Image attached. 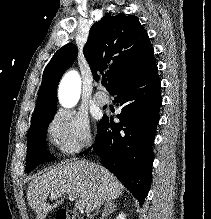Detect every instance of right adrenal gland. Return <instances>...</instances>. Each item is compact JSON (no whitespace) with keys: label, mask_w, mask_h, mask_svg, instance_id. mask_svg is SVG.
Listing matches in <instances>:
<instances>
[{"label":"right adrenal gland","mask_w":211,"mask_h":219,"mask_svg":"<svg viewBox=\"0 0 211 219\" xmlns=\"http://www.w3.org/2000/svg\"><path fill=\"white\" fill-rule=\"evenodd\" d=\"M115 207H116V205L112 201L106 203L105 207H104V211H103L102 217L100 219H104L107 216H109L110 214H112L115 211Z\"/></svg>","instance_id":"obj_1"}]
</instances>
